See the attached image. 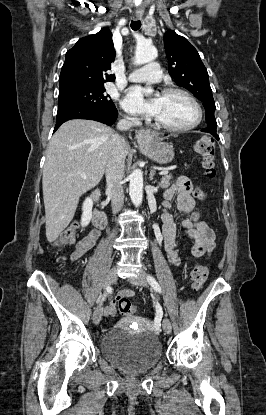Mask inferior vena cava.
<instances>
[{"instance_id":"obj_1","label":"inferior vena cava","mask_w":266,"mask_h":415,"mask_svg":"<svg viewBox=\"0 0 266 415\" xmlns=\"http://www.w3.org/2000/svg\"><path fill=\"white\" fill-rule=\"evenodd\" d=\"M138 123L139 121L135 118L121 119L117 124V129L120 131H126ZM125 158V139L115 133L112 137V149L105 170L107 190L111 197L113 213L120 211L124 203L122 179L124 177Z\"/></svg>"}]
</instances>
